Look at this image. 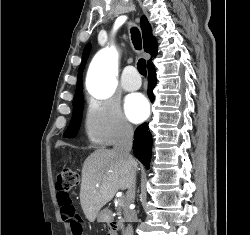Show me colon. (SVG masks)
Wrapping results in <instances>:
<instances>
[{
    "instance_id": "5ec220e1",
    "label": "colon",
    "mask_w": 250,
    "mask_h": 235,
    "mask_svg": "<svg viewBox=\"0 0 250 235\" xmlns=\"http://www.w3.org/2000/svg\"><path fill=\"white\" fill-rule=\"evenodd\" d=\"M78 182L79 175L74 169L68 166L59 168L56 183L58 190L57 200L61 208L63 220L69 224L73 235L84 234L82 220L69 195V190L75 187Z\"/></svg>"
}]
</instances>
